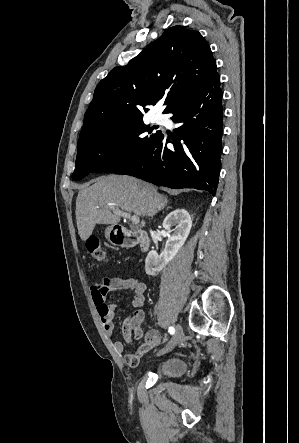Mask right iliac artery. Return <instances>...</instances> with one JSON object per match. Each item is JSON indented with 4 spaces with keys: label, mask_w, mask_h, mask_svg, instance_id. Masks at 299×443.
I'll use <instances>...</instances> for the list:
<instances>
[{
    "label": "right iliac artery",
    "mask_w": 299,
    "mask_h": 443,
    "mask_svg": "<svg viewBox=\"0 0 299 443\" xmlns=\"http://www.w3.org/2000/svg\"><path fill=\"white\" fill-rule=\"evenodd\" d=\"M169 333L171 334V335H173L174 333H175V328L174 327H169Z\"/></svg>",
    "instance_id": "obj_1"
}]
</instances>
